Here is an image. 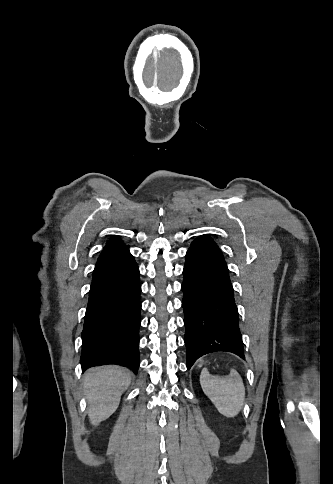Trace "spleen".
<instances>
[{
    "mask_svg": "<svg viewBox=\"0 0 333 484\" xmlns=\"http://www.w3.org/2000/svg\"><path fill=\"white\" fill-rule=\"evenodd\" d=\"M200 384L220 414L228 418L239 414L243 407L245 387L235 370H231L227 377H216L204 369L200 374Z\"/></svg>",
    "mask_w": 333,
    "mask_h": 484,
    "instance_id": "spleen-1",
    "label": "spleen"
}]
</instances>
